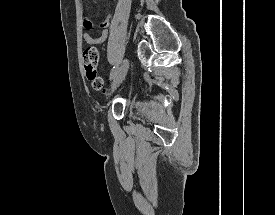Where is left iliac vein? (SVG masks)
<instances>
[{"label":"left iliac vein","mask_w":275,"mask_h":215,"mask_svg":"<svg viewBox=\"0 0 275 215\" xmlns=\"http://www.w3.org/2000/svg\"><path fill=\"white\" fill-rule=\"evenodd\" d=\"M129 68V61L128 59H124L113 82L112 88L113 90L123 81L126 76V73Z\"/></svg>","instance_id":"obj_1"}]
</instances>
